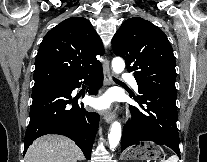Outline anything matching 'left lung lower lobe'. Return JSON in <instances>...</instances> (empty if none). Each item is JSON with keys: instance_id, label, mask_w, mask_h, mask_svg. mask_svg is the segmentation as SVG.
Masks as SVG:
<instances>
[{"instance_id": "obj_1", "label": "left lung lower lobe", "mask_w": 207, "mask_h": 162, "mask_svg": "<svg viewBox=\"0 0 207 162\" xmlns=\"http://www.w3.org/2000/svg\"><path fill=\"white\" fill-rule=\"evenodd\" d=\"M135 100L140 108L130 106L132 119L122 133L121 151L140 141H153L171 148L179 157L176 91L156 88L138 90Z\"/></svg>"}]
</instances>
